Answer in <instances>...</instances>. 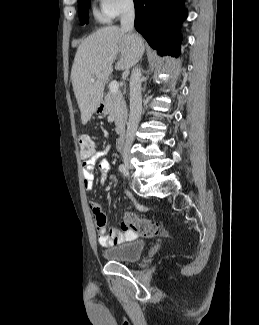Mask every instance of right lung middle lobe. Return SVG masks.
<instances>
[{
	"instance_id": "dd1d6c3e",
	"label": "right lung middle lobe",
	"mask_w": 259,
	"mask_h": 325,
	"mask_svg": "<svg viewBox=\"0 0 259 325\" xmlns=\"http://www.w3.org/2000/svg\"><path fill=\"white\" fill-rule=\"evenodd\" d=\"M90 0H78L79 19L81 24L88 23V6Z\"/></svg>"
}]
</instances>
